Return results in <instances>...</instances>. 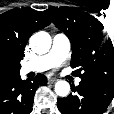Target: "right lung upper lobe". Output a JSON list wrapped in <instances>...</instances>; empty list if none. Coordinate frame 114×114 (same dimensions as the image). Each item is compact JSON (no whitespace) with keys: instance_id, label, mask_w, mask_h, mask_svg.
I'll return each mask as SVG.
<instances>
[{"instance_id":"right-lung-upper-lobe-1","label":"right lung upper lobe","mask_w":114,"mask_h":114,"mask_svg":"<svg viewBox=\"0 0 114 114\" xmlns=\"http://www.w3.org/2000/svg\"><path fill=\"white\" fill-rule=\"evenodd\" d=\"M50 24L44 12L12 9L0 15V68L18 71L29 37Z\"/></svg>"}]
</instances>
